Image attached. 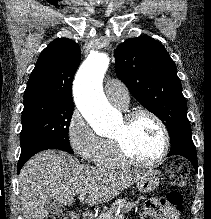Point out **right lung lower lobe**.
I'll return each instance as SVG.
<instances>
[{
    "label": "right lung lower lobe",
    "instance_id": "1",
    "mask_svg": "<svg viewBox=\"0 0 211 219\" xmlns=\"http://www.w3.org/2000/svg\"><path fill=\"white\" fill-rule=\"evenodd\" d=\"M47 149H59L63 150L62 148L58 146H53V145H41L37 146L29 151H26L24 153H21L19 161H18V173L21 170L22 166L26 163V161L32 157L34 154L42 151V150H47ZM64 151V150H63Z\"/></svg>",
    "mask_w": 211,
    "mask_h": 219
}]
</instances>
